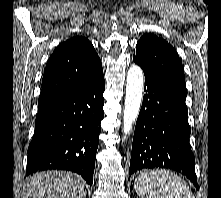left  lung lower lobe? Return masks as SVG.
Here are the masks:
<instances>
[{
	"label": "left lung lower lobe",
	"instance_id": "obj_1",
	"mask_svg": "<svg viewBox=\"0 0 221 198\" xmlns=\"http://www.w3.org/2000/svg\"><path fill=\"white\" fill-rule=\"evenodd\" d=\"M144 74L145 94L136 122L129 174L146 168H170L186 175L199 189L185 100L149 73Z\"/></svg>",
	"mask_w": 221,
	"mask_h": 198
}]
</instances>
